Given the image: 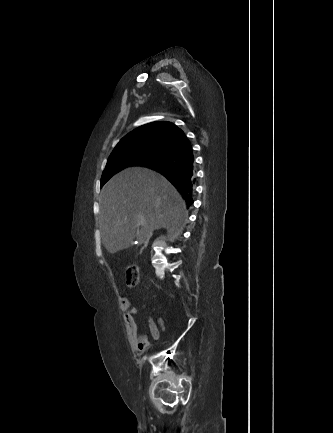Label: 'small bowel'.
<instances>
[{"label": "small bowel", "instance_id": "c3829d8e", "mask_svg": "<svg viewBox=\"0 0 333 433\" xmlns=\"http://www.w3.org/2000/svg\"><path fill=\"white\" fill-rule=\"evenodd\" d=\"M121 310L127 324L128 339L132 348L139 353L146 351L150 347V341L148 336L139 329L136 321L137 310L132 307L129 298L123 297L121 299ZM149 328L152 339L158 340L160 338V331L157 325L150 322Z\"/></svg>", "mask_w": 333, "mask_h": 433}]
</instances>
